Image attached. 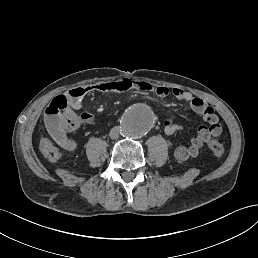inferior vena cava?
I'll return each mask as SVG.
<instances>
[{"mask_svg": "<svg viewBox=\"0 0 258 258\" xmlns=\"http://www.w3.org/2000/svg\"><path fill=\"white\" fill-rule=\"evenodd\" d=\"M120 127L119 126H115L111 129L109 135L112 139H116L118 138L119 134H120Z\"/></svg>", "mask_w": 258, "mask_h": 258, "instance_id": "obj_1", "label": "inferior vena cava"}]
</instances>
